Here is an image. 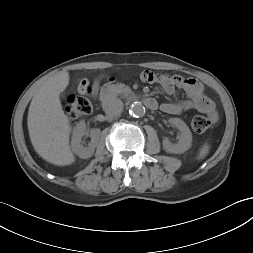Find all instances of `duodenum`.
Segmentation results:
<instances>
[{
  "label": "duodenum",
  "mask_w": 253,
  "mask_h": 253,
  "mask_svg": "<svg viewBox=\"0 0 253 253\" xmlns=\"http://www.w3.org/2000/svg\"><path fill=\"white\" fill-rule=\"evenodd\" d=\"M118 85L115 81H111L108 83L106 87L103 88L101 91V101L106 102L110 99V97L113 95V93L116 91ZM131 99L133 100H141L143 104L150 110H155L158 108V103L154 98L151 97H139V96H131Z\"/></svg>",
  "instance_id": "1"
}]
</instances>
